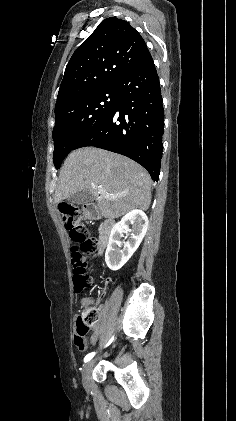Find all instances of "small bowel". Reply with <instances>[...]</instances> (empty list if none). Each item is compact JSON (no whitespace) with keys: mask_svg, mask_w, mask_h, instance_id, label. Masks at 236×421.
Returning <instances> with one entry per match:
<instances>
[{"mask_svg":"<svg viewBox=\"0 0 236 421\" xmlns=\"http://www.w3.org/2000/svg\"><path fill=\"white\" fill-rule=\"evenodd\" d=\"M108 282H109V281H107V283H108ZM83 303H84V304H85V303H89V301H88V300H83ZM98 309H99V311H100L101 313H103V315H104V309H103V307H102V306H100V305H98ZM102 326H103V323H102V322L94 326V328H93V333H92V335H91V337H90L91 342H93V338H94V336L96 335V333L100 330V328H101Z\"/></svg>","mask_w":236,"mask_h":421,"instance_id":"c3829d8e","label":"small bowel"}]
</instances>
